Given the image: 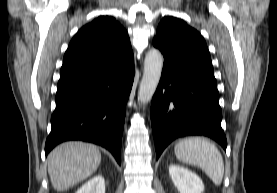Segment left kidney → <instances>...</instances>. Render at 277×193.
I'll return each mask as SVG.
<instances>
[{"instance_id":"1","label":"left kidney","mask_w":277,"mask_h":193,"mask_svg":"<svg viewBox=\"0 0 277 193\" xmlns=\"http://www.w3.org/2000/svg\"><path fill=\"white\" fill-rule=\"evenodd\" d=\"M168 169L179 193H203L204 184L198 175L177 164H170Z\"/></svg>"}]
</instances>
